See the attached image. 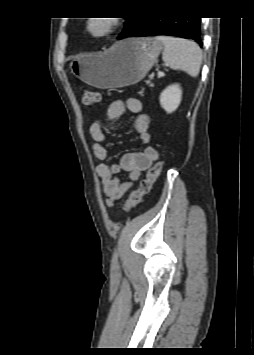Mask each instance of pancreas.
<instances>
[{
    "label": "pancreas",
    "instance_id": "obj_1",
    "mask_svg": "<svg viewBox=\"0 0 254 355\" xmlns=\"http://www.w3.org/2000/svg\"><path fill=\"white\" fill-rule=\"evenodd\" d=\"M146 83H147L150 87H153V84L151 83L150 80H147Z\"/></svg>",
    "mask_w": 254,
    "mask_h": 355
}]
</instances>
